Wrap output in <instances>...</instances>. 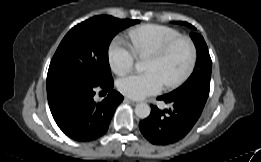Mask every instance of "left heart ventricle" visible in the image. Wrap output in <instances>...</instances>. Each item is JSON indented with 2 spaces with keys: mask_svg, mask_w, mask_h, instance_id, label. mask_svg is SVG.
<instances>
[{
  "mask_svg": "<svg viewBox=\"0 0 261 162\" xmlns=\"http://www.w3.org/2000/svg\"><path fill=\"white\" fill-rule=\"evenodd\" d=\"M189 59V48L187 44L181 43L164 58L148 56L145 61V69L158 71L164 83L167 84L183 73Z\"/></svg>",
  "mask_w": 261,
  "mask_h": 162,
  "instance_id": "obj_1",
  "label": "left heart ventricle"
}]
</instances>
